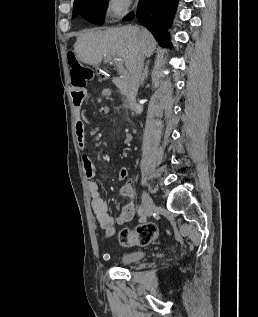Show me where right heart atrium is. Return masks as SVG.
<instances>
[{
    "instance_id": "right-heart-atrium-1",
    "label": "right heart atrium",
    "mask_w": 258,
    "mask_h": 317,
    "mask_svg": "<svg viewBox=\"0 0 258 317\" xmlns=\"http://www.w3.org/2000/svg\"><path fill=\"white\" fill-rule=\"evenodd\" d=\"M132 8L130 0H110L107 3V16L112 22H117L126 16Z\"/></svg>"
}]
</instances>
